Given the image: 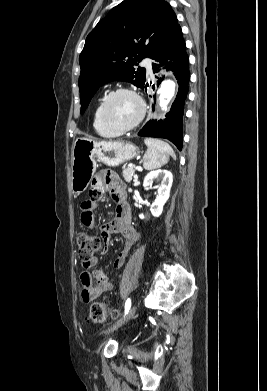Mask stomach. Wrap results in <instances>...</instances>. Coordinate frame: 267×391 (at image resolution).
<instances>
[{
	"mask_svg": "<svg viewBox=\"0 0 267 391\" xmlns=\"http://www.w3.org/2000/svg\"><path fill=\"white\" fill-rule=\"evenodd\" d=\"M139 153V148L130 142H97L90 138H77L72 148V193L78 196L87 189L97 162L115 167L132 160Z\"/></svg>",
	"mask_w": 267,
	"mask_h": 391,
	"instance_id": "0dacf381",
	"label": "stomach"
}]
</instances>
